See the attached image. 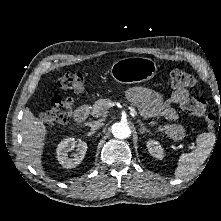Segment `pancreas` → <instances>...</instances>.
Masks as SVG:
<instances>
[{
	"label": "pancreas",
	"mask_w": 221,
	"mask_h": 221,
	"mask_svg": "<svg viewBox=\"0 0 221 221\" xmlns=\"http://www.w3.org/2000/svg\"><path fill=\"white\" fill-rule=\"evenodd\" d=\"M111 100L108 98H103L97 100L91 110V114L94 117H99L101 115H105L107 113V108ZM157 122H152V125H156ZM158 130L165 133L168 137L174 139L175 141L181 140L184 137L185 130L181 125L171 124L161 126L159 125Z\"/></svg>",
	"instance_id": "1"
}]
</instances>
